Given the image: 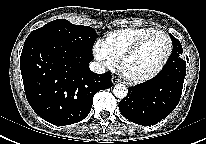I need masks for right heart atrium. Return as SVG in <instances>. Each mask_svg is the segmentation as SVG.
Here are the masks:
<instances>
[{
  "instance_id": "right-heart-atrium-1",
  "label": "right heart atrium",
  "mask_w": 206,
  "mask_h": 144,
  "mask_svg": "<svg viewBox=\"0 0 206 144\" xmlns=\"http://www.w3.org/2000/svg\"><path fill=\"white\" fill-rule=\"evenodd\" d=\"M95 58L105 67L112 68L115 66L116 61L108 53L102 41H97L93 47Z\"/></svg>"
}]
</instances>
